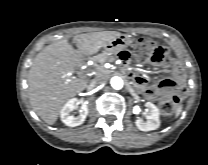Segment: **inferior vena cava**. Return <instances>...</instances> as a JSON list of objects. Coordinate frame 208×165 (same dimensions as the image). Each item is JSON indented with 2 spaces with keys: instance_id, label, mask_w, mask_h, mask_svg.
I'll return each mask as SVG.
<instances>
[{
  "instance_id": "1",
  "label": "inferior vena cava",
  "mask_w": 208,
  "mask_h": 165,
  "mask_svg": "<svg viewBox=\"0 0 208 165\" xmlns=\"http://www.w3.org/2000/svg\"><path fill=\"white\" fill-rule=\"evenodd\" d=\"M105 81H106V80H105L104 77H96V78H94V79L91 81V85H92L93 87L99 86V85L103 84Z\"/></svg>"
}]
</instances>
